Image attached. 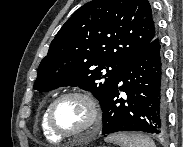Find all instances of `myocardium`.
Returning <instances> with one entry per match:
<instances>
[{
	"label": "myocardium",
	"instance_id": "obj_1",
	"mask_svg": "<svg viewBox=\"0 0 183 147\" xmlns=\"http://www.w3.org/2000/svg\"><path fill=\"white\" fill-rule=\"evenodd\" d=\"M69 97H77L85 101L90 110V120L84 128L78 131L63 132L55 126L53 122V112L56 105L60 101ZM100 120H101V111L97 100L90 93L80 90L68 91L59 95L50 103L46 114V122L48 128L51 130L52 133H54L56 136L60 138H70L80 136L95 128L100 123Z\"/></svg>",
	"mask_w": 183,
	"mask_h": 147
}]
</instances>
